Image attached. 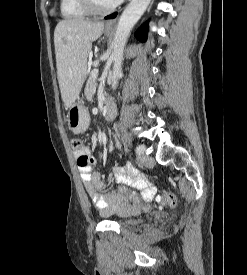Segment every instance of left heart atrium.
I'll return each mask as SVG.
<instances>
[{"label": "left heart atrium", "instance_id": "left-heart-atrium-1", "mask_svg": "<svg viewBox=\"0 0 247 275\" xmlns=\"http://www.w3.org/2000/svg\"><path fill=\"white\" fill-rule=\"evenodd\" d=\"M122 0H113L114 5L119 4Z\"/></svg>", "mask_w": 247, "mask_h": 275}]
</instances>
